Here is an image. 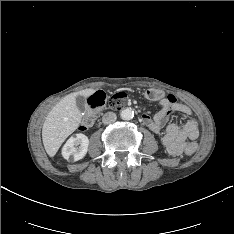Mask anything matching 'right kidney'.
<instances>
[{"label":"right kidney","mask_w":234,"mask_h":234,"mask_svg":"<svg viewBox=\"0 0 234 234\" xmlns=\"http://www.w3.org/2000/svg\"><path fill=\"white\" fill-rule=\"evenodd\" d=\"M89 146V139L84 134H76L75 136L70 137L62 148V156L66 159H73L78 161L82 159L87 151Z\"/></svg>","instance_id":"1"}]
</instances>
